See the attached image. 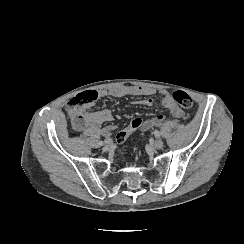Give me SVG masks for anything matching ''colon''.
Segmentation results:
<instances>
[{
	"label": "colon",
	"instance_id": "obj_1",
	"mask_svg": "<svg viewBox=\"0 0 244 244\" xmlns=\"http://www.w3.org/2000/svg\"><path fill=\"white\" fill-rule=\"evenodd\" d=\"M173 98V102L183 108H189L192 106L193 101L192 98L190 97V95L183 90H177L173 93L172 95ZM70 105L72 106V102H69ZM74 110V114H73V124L76 128H78L81 125H84L86 123V116L83 113V111L81 109H79L77 106L73 107ZM143 121L142 117H138L137 120L133 121L132 125L129 126V129H126L124 131L125 135L130 134L131 132L134 131V127H139L141 122ZM126 139L125 136H123L122 133H118L116 135V140L118 143H122L124 142Z\"/></svg>",
	"mask_w": 244,
	"mask_h": 244
}]
</instances>
